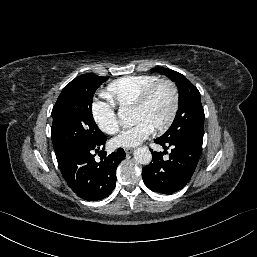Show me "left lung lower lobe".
Wrapping results in <instances>:
<instances>
[{
	"mask_svg": "<svg viewBox=\"0 0 257 257\" xmlns=\"http://www.w3.org/2000/svg\"><path fill=\"white\" fill-rule=\"evenodd\" d=\"M155 142L165 149L171 147L172 150L168 160L163 159L162 152H152V162L142 170L143 181L154 192L172 194L190 181L202 152L203 141L196 139L166 141L157 138Z\"/></svg>",
	"mask_w": 257,
	"mask_h": 257,
	"instance_id": "obj_1",
	"label": "left lung lower lobe"
}]
</instances>
